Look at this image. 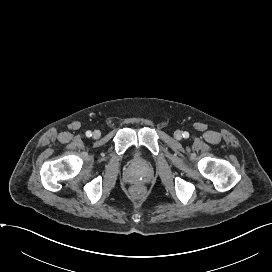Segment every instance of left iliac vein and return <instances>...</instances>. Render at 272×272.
<instances>
[{"label":"left iliac vein","mask_w":272,"mask_h":272,"mask_svg":"<svg viewBox=\"0 0 272 272\" xmlns=\"http://www.w3.org/2000/svg\"><path fill=\"white\" fill-rule=\"evenodd\" d=\"M174 135H175L176 139H181L182 138V134H181L180 131H176Z\"/></svg>","instance_id":"1"}]
</instances>
